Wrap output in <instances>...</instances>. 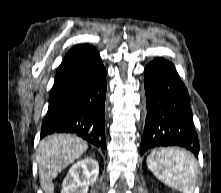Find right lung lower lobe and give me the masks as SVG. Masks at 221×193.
Instances as JSON below:
<instances>
[{
    "label": "right lung lower lobe",
    "instance_id": "right-lung-lower-lobe-1",
    "mask_svg": "<svg viewBox=\"0 0 221 193\" xmlns=\"http://www.w3.org/2000/svg\"><path fill=\"white\" fill-rule=\"evenodd\" d=\"M105 96L106 70L100 59L64 95L49 102L56 109L46 114L41 138L73 133L105 149Z\"/></svg>",
    "mask_w": 221,
    "mask_h": 193
}]
</instances>
